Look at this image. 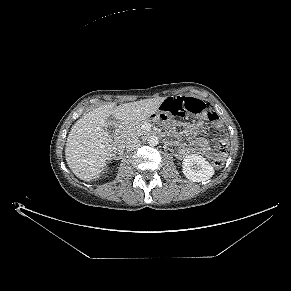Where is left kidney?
Listing matches in <instances>:
<instances>
[{"instance_id":"left-kidney-1","label":"left kidney","mask_w":291,"mask_h":291,"mask_svg":"<svg viewBox=\"0 0 291 291\" xmlns=\"http://www.w3.org/2000/svg\"><path fill=\"white\" fill-rule=\"evenodd\" d=\"M182 171L193 182H205L214 175L211 164L201 155H188L183 159Z\"/></svg>"}]
</instances>
